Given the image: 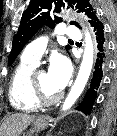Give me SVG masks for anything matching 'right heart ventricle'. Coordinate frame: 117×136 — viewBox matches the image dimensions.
Listing matches in <instances>:
<instances>
[{"mask_svg":"<svg viewBox=\"0 0 117 136\" xmlns=\"http://www.w3.org/2000/svg\"><path fill=\"white\" fill-rule=\"evenodd\" d=\"M36 64L21 60L16 67L9 85V101L20 112L30 113L38 110L31 92V75Z\"/></svg>","mask_w":117,"mask_h":136,"instance_id":"e07e8e85","label":"right heart ventricle"}]
</instances>
